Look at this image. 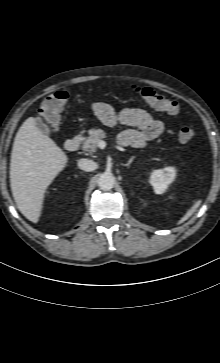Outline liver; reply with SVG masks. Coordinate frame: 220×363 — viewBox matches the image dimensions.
<instances>
[{
    "label": "liver",
    "mask_w": 220,
    "mask_h": 363,
    "mask_svg": "<svg viewBox=\"0 0 220 363\" xmlns=\"http://www.w3.org/2000/svg\"><path fill=\"white\" fill-rule=\"evenodd\" d=\"M68 157L56 143L27 118L13 143L10 186L19 211L30 221L41 216L46 189L65 168Z\"/></svg>",
    "instance_id": "liver-1"
}]
</instances>
